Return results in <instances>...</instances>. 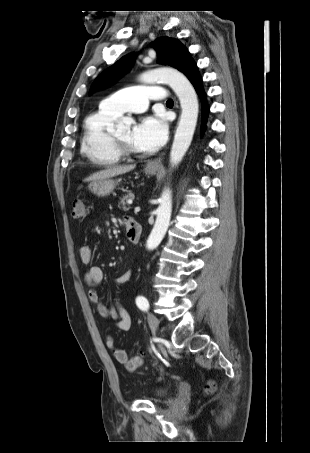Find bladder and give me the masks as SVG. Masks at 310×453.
I'll list each match as a JSON object with an SVG mask.
<instances>
[{"instance_id":"bladder-1","label":"bladder","mask_w":310,"mask_h":453,"mask_svg":"<svg viewBox=\"0 0 310 453\" xmlns=\"http://www.w3.org/2000/svg\"><path fill=\"white\" fill-rule=\"evenodd\" d=\"M167 393V389L163 386H157L153 388L149 394V398L151 399H160L164 397Z\"/></svg>"}]
</instances>
